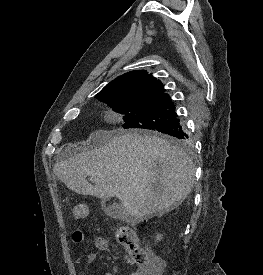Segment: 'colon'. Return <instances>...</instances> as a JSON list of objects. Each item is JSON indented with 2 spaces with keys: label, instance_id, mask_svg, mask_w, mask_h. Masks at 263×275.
Wrapping results in <instances>:
<instances>
[{
  "label": "colon",
  "instance_id": "colon-1",
  "mask_svg": "<svg viewBox=\"0 0 263 275\" xmlns=\"http://www.w3.org/2000/svg\"><path fill=\"white\" fill-rule=\"evenodd\" d=\"M72 215L76 220L87 216V208L84 205H76L72 208ZM115 238L129 253L133 265L140 270L142 275H158L161 263L149 257L141 248L135 232L128 226H118L114 229Z\"/></svg>",
  "mask_w": 263,
  "mask_h": 275
}]
</instances>
